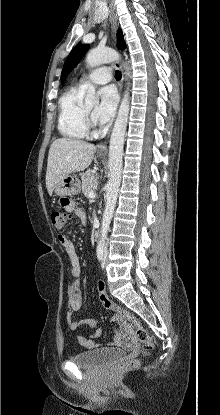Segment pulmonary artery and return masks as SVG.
<instances>
[{
    "label": "pulmonary artery",
    "mask_w": 220,
    "mask_h": 415,
    "mask_svg": "<svg viewBox=\"0 0 220 415\" xmlns=\"http://www.w3.org/2000/svg\"><path fill=\"white\" fill-rule=\"evenodd\" d=\"M112 71L109 67H100L90 74L83 76L78 81V86H82L85 82L89 81L93 84H105L111 81Z\"/></svg>",
    "instance_id": "1"
}]
</instances>
